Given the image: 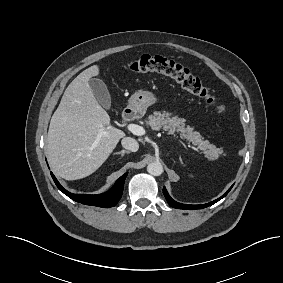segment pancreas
<instances>
[{"instance_id":"1","label":"pancreas","mask_w":283,"mask_h":283,"mask_svg":"<svg viewBox=\"0 0 283 283\" xmlns=\"http://www.w3.org/2000/svg\"><path fill=\"white\" fill-rule=\"evenodd\" d=\"M171 115L172 114L169 112L161 113L155 111L154 115H150L148 117L147 124L152 130L163 129L171 134L175 132L179 133L182 138L191 142L210 156L217 157L222 153L221 149L210 144L208 140H204L203 136L199 132L194 131V129L190 126H185V119Z\"/></svg>"}]
</instances>
